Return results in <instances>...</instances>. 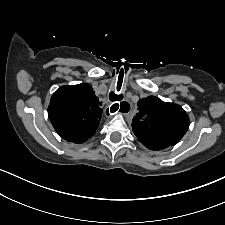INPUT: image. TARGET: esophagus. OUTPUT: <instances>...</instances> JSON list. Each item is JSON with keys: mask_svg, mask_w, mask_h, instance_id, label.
<instances>
[{"mask_svg": "<svg viewBox=\"0 0 225 225\" xmlns=\"http://www.w3.org/2000/svg\"><path fill=\"white\" fill-rule=\"evenodd\" d=\"M125 102V101H124ZM128 103V102H127ZM116 103H112L110 106H109V112H111V110H113L114 109V105H115ZM130 106V103H128V105L126 104V106L124 107V109H123V111L120 109L121 108V105L119 106V108H118V110H117V112H119V113H121V114H123V115H128L129 113H130V111H131V107H130V109L128 110V107Z\"/></svg>", "mask_w": 225, "mask_h": 225, "instance_id": "obj_1", "label": "esophagus"}]
</instances>
